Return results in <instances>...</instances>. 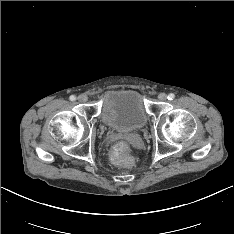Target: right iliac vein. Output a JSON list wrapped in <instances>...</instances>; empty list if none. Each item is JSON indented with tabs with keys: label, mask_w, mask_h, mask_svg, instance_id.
Returning a JSON list of instances; mask_svg holds the SVG:
<instances>
[{
	"label": "right iliac vein",
	"mask_w": 234,
	"mask_h": 234,
	"mask_svg": "<svg viewBox=\"0 0 234 234\" xmlns=\"http://www.w3.org/2000/svg\"><path fill=\"white\" fill-rule=\"evenodd\" d=\"M88 100L87 96L82 94V95H79L78 96V101L81 102V103H84Z\"/></svg>",
	"instance_id": "1"
}]
</instances>
